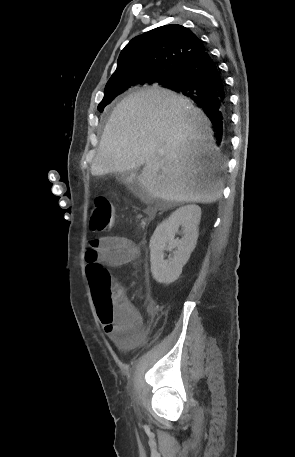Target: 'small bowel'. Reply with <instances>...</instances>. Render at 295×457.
<instances>
[{
    "mask_svg": "<svg viewBox=\"0 0 295 457\" xmlns=\"http://www.w3.org/2000/svg\"><path fill=\"white\" fill-rule=\"evenodd\" d=\"M139 254L137 245L123 236H102L90 240L86 251V262H99L109 267H120L134 261ZM121 288V287H120ZM123 295L122 308L117 317L109 322L100 320L104 332L111 338H128L129 334L142 323L137 309Z\"/></svg>",
    "mask_w": 295,
    "mask_h": 457,
    "instance_id": "c3829d8e",
    "label": "small bowel"
}]
</instances>
